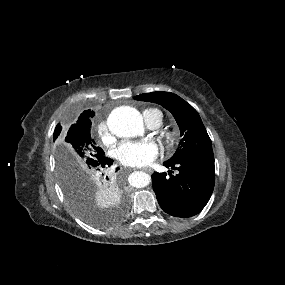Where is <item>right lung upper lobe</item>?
<instances>
[{
  "mask_svg": "<svg viewBox=\"0 0 285 285\" xmlns=\"http://www.w3.org/2000/svg\"><path fill=\"white\" fill-rule=\"evenodd\" d=\"M94 115H95V113L93 111L86 110L79 116L77 123L74 125L77 126V125L83 124L87 121H90V118L93 117Z\"/></svg>",
  "mask_w": 285,
  "mask_h": 285,
  "instance_id": "right-lung-upper-lobe-1",
  "label": "right lung upper lobe"
}]
</instances>
